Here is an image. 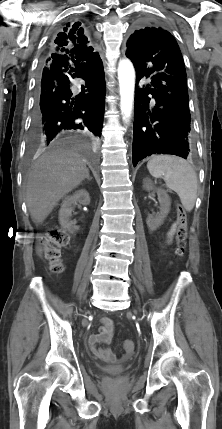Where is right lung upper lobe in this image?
Here are the masks:
<instances>
[{
    "mask_svg": "<svg viewBox=\"0 0 222 429\" xmlns=\"http://www.w3.org/2000/svg\"><path fill=\"white\" fill-rule=\"evenodd\" d=\"M79 26L73 25L65 32L58 33L50 42V54H71L75 59L84 61L98 55L94 49L88 45V40L83 31L78 30Z\"/></svg>",
    "mask_w": 222,
    "mask_h": 429,
    "instance_id": "right-lung-upper-lobe-1",
    "label": "right lung upper lobe"
}]
</instances>
